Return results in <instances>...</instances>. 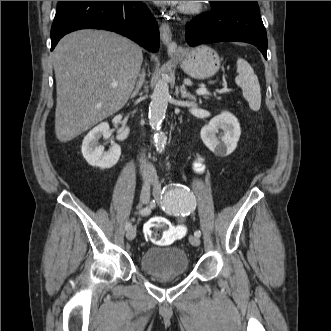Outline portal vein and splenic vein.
<instances>
[{"label": "portal vein and splenic vein", "mask_w": 331, "mask_h": 331, "mask_svg": "<svg viewBox=\"0 0 331 331\" xmlns=\"http://www.w3.org/2000/svg\"><path fill=\"white\" fill-rule=\"evenodd\" d=\"M112 86L117 87L118 83L117 82H112ZM220 92H223V91H220ZM196 94L197 95L208 94V90L206 88H199L198 90H196Z\"/></svg>", "instance_id": "1"}]
</instances>
